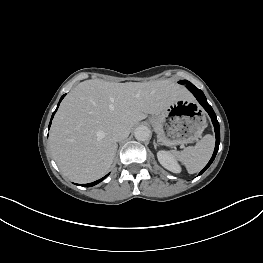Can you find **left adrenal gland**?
Instances as JSON below:
<instances>
[{
    "label": "left adrenal gland",
    "instance_id": "obj_1",
    "mask_svg": "<svg viewBox=\"0 0 263 263\" xmlns=\"http://www.w3.org/2000/svg\"><path fill=\"white\" fill-rule=\"evenodd\" d=\"M153 144H154V148H155V149L157 148L158 145H160V144H159L158 142H156L155 140H154Z\"/></svg>",
    "mask_w": 263,
    "mask_h": 263
}]
</instances>
